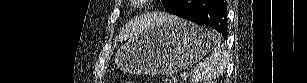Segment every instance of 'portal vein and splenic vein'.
I'll return each mask as SVG.
<instances>
[{"label":"portal vein and splenic vein","mask_w":307,"mask_h":83,"mask_svg":"<svg viewBox=\"0 0 307 83\" xmlns=\"http://www.w3.org/2000/svg\"><path fill=\"white\" fill-rule=\"evenodd\" d=\"M181 77H182V78H186V77H187V74H186V73H183V74H181Z\"/></svg>","instance_id":"portal-vein-and-splenic-vein-1"}]
</instances>
